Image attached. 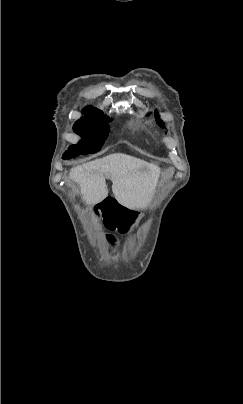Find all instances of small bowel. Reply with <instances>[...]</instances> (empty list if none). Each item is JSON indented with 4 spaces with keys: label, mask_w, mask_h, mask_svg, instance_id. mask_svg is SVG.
<instances>
[{
    "label": "small bowel",
    "mask_w": 243,
    "mask_h": 404,
    "mask_svg": "<svg viewBox=\"0 0 243 404\" xmlns=\"http://www.w3.org/2000/svg\"><path fill=\"white\" fill-rule=\"evenodd\" d=\"M92 214L98 226L105 230L109 241L114 242L115 235L126 234L134 227L138 213L121 203L115 196L106 195L93 208Z\"/></svg>",
    "instance_id": "small-bowel-1"
}]
</instances>
